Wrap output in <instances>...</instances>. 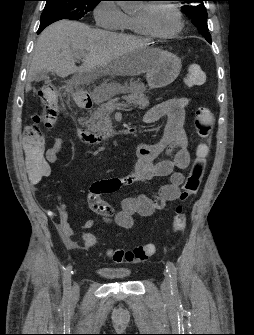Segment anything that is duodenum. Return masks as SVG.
<instances>
[{
    "mask_svg": "<svg viewBox=\"0 0 254 335\" xmlns=\"http://www.w3.org/2000/svg\"><path fill=\"white\" fill-rule=\"evenodd\" d=\"M78 105L81 108L89 109L93 105L92 98L90 96H82L78 100ZM118 130L116 129H110L108 131L102 132V133H93L89 130H87L84 126H80L78 129V135L79 137L88 144H97L100 142H103L110 137L116 135ZM123 132H129L131 134H134L136 132V128L134 126H129L123 130Z\"/></svg>",
    "mask_w": 254,
    "mask_h": 335,
    "instance_id": "duodenum-1",
    "label": "duodenum"
}]
</instances>
